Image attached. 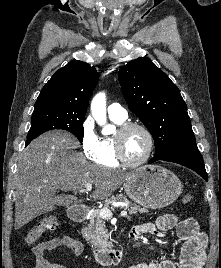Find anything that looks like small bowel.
<instances>
[{
    "label": "small bowel",
    "instance_id": "small-bowel-1",
    "mask_svg": "<svg viewBox=\"0 0 221 268\" xmlns=\"http://www.w3.org/2000/svg\"><path fill=\"white\" fill-rule=\"evenodd\" d=\"M173 228H175L178 237L184 241L178 265L172 260L163 259L150 263L134 264L129 268H204L208 238L207 234L200 230L198 222L193 217L181 219L175 214H164L157 217L154 223H143L135 226L131 232L135 238L143 234L163 237L165 232ZM57 248H67L76 256L83 252V244L68 235L43 241L32 247V253L35 257L34 268H65L50 263L44 257L47 251Z\"/></svg>",
    "mask_w": 221,
    "mask_h": 268
}]
</instances>
